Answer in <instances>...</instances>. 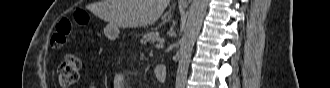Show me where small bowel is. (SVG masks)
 <instances>
[{"label":"small bowel","instance_id":"c3829d8e","mask_svg":"<svg viewBox=\"0 0 330 88\" xmlns=\"http://www.w3.org/2000/svg\"><path fill=\"white\" fill-rule=\"evenodd\" d=\"M154 75L156 77V79L158 80V75L159 73H161V70L159 69V66H156L154 68ZM127 77L124 73H118L115 76V80H114V86L115 88H126L127 87Z\"/></svg>","mask_w":330,"mask_h":88}]
</instances>
